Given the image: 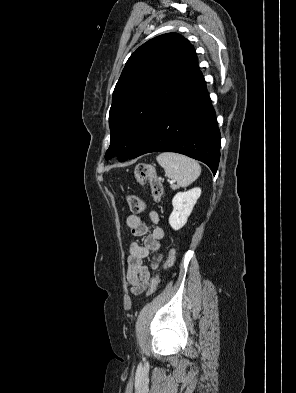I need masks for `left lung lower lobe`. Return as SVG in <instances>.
I'll list each match as a JSON object with an SVG mask.
<instances>
[{
  "instance_id": "left-lung-lower-lobe-1",
  "label": "left lung lower lobe",
  "mask_w": 296,
  "mask_h": 393,
  "mask_svg": "<svg viewBox=\"0 0 296 393\" xmlns=\"http://www.w3.org/2000/svg\"><path fill=\"white\" fill-rule=\"evenodd\" d=\"M150 152L181 153L216 173L220 132L201 72L165 107L128 159Z\"/></svg>"
}]
</instances>
